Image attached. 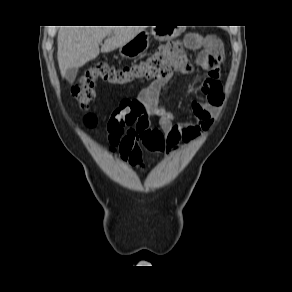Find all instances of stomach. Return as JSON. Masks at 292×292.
<instances>
[{"mask_svg": "<svg viewBox=\"0 0 292 292\" xmlns=\"http://www.w3.org/2000/svg\"><path fill=\"white\" fill-rule=\"evenodd\" d=\"M152 34L157 40L164 41L178 35L176 29L165 26H154ZM149 47V35L146 31H141L128 43L120 47V54L125 58H136L144 53Z\"/></svg>", "mask_w": 292, "mask_h": 292, "instance_id": "1", "label": "stomach"}]
</instances>
